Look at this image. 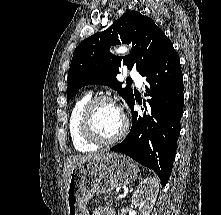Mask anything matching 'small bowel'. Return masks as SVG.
Segmentation results:
<instances>
[{
	"label": "small bowel",
	"instance_id": "small-bowel-1",
	"mask_svg": "<svg viewBox=\"0 0 221 215\" xmlns=\"http://www.w3.org/2000/svg\"><path fill=\"white\" fill-rule=\"evenodd\" d=\"M92 215H115V212L108 207L96 208Z\"/></svg>",
	"mask_w": 221,
	"mask_h": 215
}]
</instances>
